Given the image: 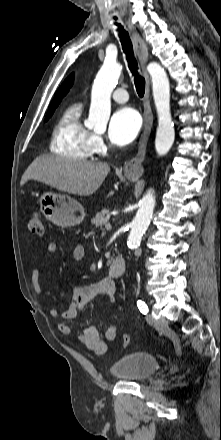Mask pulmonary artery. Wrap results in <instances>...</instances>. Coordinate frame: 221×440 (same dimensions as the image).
I'll use <instances>...</instances> for the list:
<instances>
[{
    "mask_svg": "<svg viewBox=\"0 0 221 440\" xmlns=\"http://www.w3.org/2000/svg\"><path fill=\"white\" fill-rule=\"evenodd\" d=\"M112 99L117 103H125L128 101L129 96L124 88H117L112 94Z\"/></svg>",
    "mask_w": 221,
    "mask_h": 440,
    "instance_id": "pulmonary-artery-1",
    "label": "pulmonary artery"
}]
</instances>
